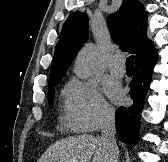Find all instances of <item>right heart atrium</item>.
<instances>
[{
    "instance_id": "right-heart-atrium-1",
    "label": "right heart atrium",
    "mask_w": 168,
    "mask_h": 162,
    "mask_svg": "<svg viewBox=\"0 0 168 162\" xmlns=\"http://www.w3.org/2000/svg\"><path fill=\"white\" fill-rule=\"evenodd\" d=\"M115 111L90 80L72 78L65 88L64 124L77 132H95L111 123Z\"/></svg>"
}]
</instances>
